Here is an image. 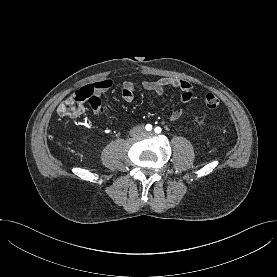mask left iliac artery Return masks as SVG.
Masks as SVG:
<instances>
[{
	"label": "left iliac artery",
	"mask_w": 277,
	"mask_h": 277,
	"mask_svg": "<svg viewBox=\"0 0 277 277\" xmlns=\"http://www.w3.org/2000/svg\"><path fill=\"white\" fill-rule=\"evenodd\" d=\"M161 130L162 129L160 127H156L154 131H155V133L159 134V133H161Z\"/></svg>",
	"instance_id": "1"
}]
</instances>
